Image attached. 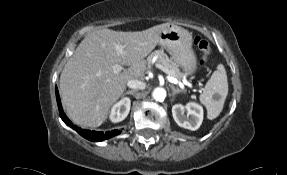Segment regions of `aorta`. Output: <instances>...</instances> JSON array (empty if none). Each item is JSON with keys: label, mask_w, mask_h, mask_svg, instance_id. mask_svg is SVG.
I'll list each match as a JSON object with an SVG mask.
<instances>
[{"label": "aorta", "mask_w": 287, "mask_h": 175, "mask_svg": "<svg viewBox=\"0 0 287 175\" xmlns=\"http://www.w3.org/2000/svg\"><path fill=\"white\" fill-rule=\"evenodd\" d=\"M152 96L157 101H163L166 97V90L162 87H157L154 89Z\"/></svg>", "instance_id": "obj_1"}]
</instances>
